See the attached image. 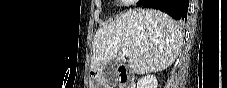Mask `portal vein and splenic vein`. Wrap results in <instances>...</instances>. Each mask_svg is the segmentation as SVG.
<instances>
[{"mask_svg": "<svg viewBox=\"0 0 227 88\" xmlns=\"http://www.w3.org/2000/svg\"><path fill=\"white\" fill-rule=\"evenodd\" d=\"M121 51H122V53H123L124 55L130 56V51H129L128 49H126V48H121Z\"/></svg>", "mask_w": 227, "mask_h": 88, "instance_id": "obj_1", "label": "portal vein and splenic vein"}]
</instances>
